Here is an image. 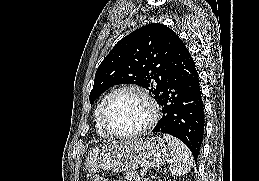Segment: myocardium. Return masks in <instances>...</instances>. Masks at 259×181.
<instances>
[{
	"instance_id": "myocardium-1",
	"label": "myocardium",
	"mask_w": 259,
	"mask_h": 181,
	"mask_svg": "<svg viewBox=\"0 0 259 181\" xmlns=\"http://www.w3.org/2000/svg\"><path fill=\"white\" fill-rule=\"evenodd\" d=\"M126 91L136 92L143 97V99L147 102V104L150 108V117H149L147 123L140 129L131 131V132H127V133H118V132H115L114 130H112L111 127L109 126L108 121H107V113H108V109H109L112 101L115 99V97ZM159 117H160V111H159V107H158L156 101L154 100V98L151 96V94L149 93V91L146 88H144L140 85H137V84L123 85V86L118 87L117 89L113 90L106 98V100L102 106V109H101L102 126L104 127V129L107 131V133L110 136L120 138V139H129V138H134V137H138V136L145 134L147 131H149L152 127H154L156 125V123L159 120Z\"/></svg>"
}]
</instances>
